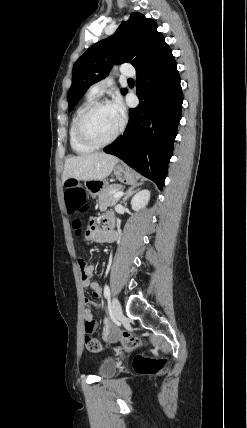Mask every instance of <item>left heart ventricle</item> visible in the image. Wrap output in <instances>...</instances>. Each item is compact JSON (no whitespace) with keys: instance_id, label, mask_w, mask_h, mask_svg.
<instances>
[{"instance_id":"b2bd125f","label":"left heart ventricle","mask_w":247,"mask_h":428,"mask_svg":"<svg viewBox=\"0 0 247 428\" xmlns=\"http://www.w3.org/2000/svg\"><path fill=\"white\" fill-rule=\"evenodd\" d=\"M118 126L119 123L114 118L108 105L94 110L85 123V128L89 136L99 142L109 139Z\"/></svg>"}]
</instances>
